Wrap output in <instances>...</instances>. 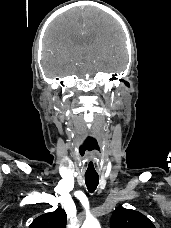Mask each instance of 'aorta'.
Here are the masks:
<instances>
[{
    "mask_svg": "<svg viewBox=\"0 0 171 228\" xmlns=\"http://www.w3.org/2000/svg\"><path fill=\"white\" fill-rule=\"evenodd\" d=\"M81 228H100V224L97 219L89 217L85 220Z\"/></svg>",
    "mask_w": 171,
    "mask_h": 228,
    "instance_id": "762f6f07",
    "label": "aorta"
}]
</instances>
